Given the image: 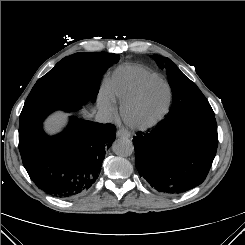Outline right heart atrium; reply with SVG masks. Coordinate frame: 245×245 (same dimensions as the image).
<instances>
[{"mask_svg": "<svg viewBox=\"0 0 245 245\" xmlns=\"http://www.w3.org/2000/svg\"><path fill=\"white\" fill-rule=\"evenodd\" d=\"M98 105L101 111H103L106 115L113 116L116 114V104L114 98L107 90H103L101 92L98 99Z\"/></svg>", "mask_w": 245, "mask_h": 245, "instance_id": "1", "label": "right heart atrium"}]
</instances>
